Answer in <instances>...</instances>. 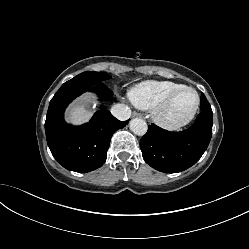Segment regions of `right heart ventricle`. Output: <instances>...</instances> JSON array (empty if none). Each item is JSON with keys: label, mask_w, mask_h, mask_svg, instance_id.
Wrapping results in <instances>:
<instances>
[{"label": "right heart ventricle", "mask_w": 249, "mask_h": 249, "mask_svg": "<svg viewBox=\"0 0 249 249\" xmlns=\"http://www.w3.org/2000/svg\"><path fill=\"white\" fill-rule=\"evenodd\" d=\"M183 86L169 80H148L135 85L129 92L132 103L140 109H153L168 93Z\"/></svg>", "instance_id": "right-heart-ventricle-1"}]
</instances>
